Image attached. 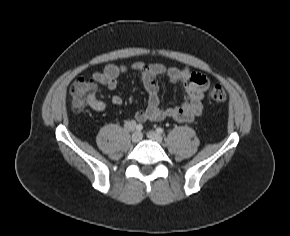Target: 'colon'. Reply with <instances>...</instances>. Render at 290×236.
Segmentation results:
<instances>
[{
  "mask_svg": "<svg viewBox=\"0 0 290 236\" xmlns=\"http://www.w3.org/2000/svg\"><path fill=\"white\" fill-rule=\"evenodd\" d=\"M96 85L86 79L73 82L69 88L72 108L75 112L83 111L96 98ZM208 96L214 102H224L227 99L225 89L216 84L209 89Z\"/></svg>",
  "mask_w": 290,
  "mask_h": 236,
  "instance_id": "1",
  "label": "colon"
}]
</instances>
